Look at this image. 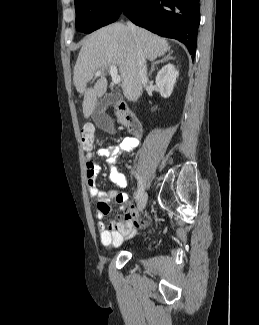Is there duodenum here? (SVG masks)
I'll list each match as a JSON object with an SVG mask.
<instances>
[{"label": "duodenum", "mask_w": 259, "mask_h": 325, "mask_svg": "<svg viewBox=\"0 0 259 325\" xmlns=\"http://www.w3.org/2000/svg\"><path fill=\"white\" fill-rule=\"evenodd\" d=\"M112 106L120 113L129 133L138 138L142 134V125L138 117L131 111L129 106L123 101H116Z\"/></svg>", "instance_id": "obj_1"}]
</instances>
